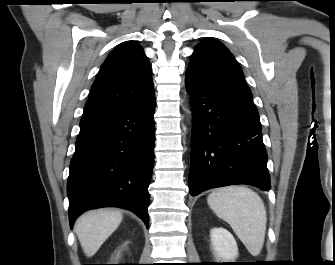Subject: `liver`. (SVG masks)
I'll list each match as a JSON object with an SVG mask.
<instances>
[{"label": "liver", "instance_id": "6515ba94", "mask_svg": "<svg viewBox=\"0 0 335 265\" xmlns=\"http://www.w3.org/2000/svg\"><path fill=\"white\" fill-rule=\"evenodd\" d=\"M123 219L122 212L115 209L91 210L75 222L74 231L87 257H92L118 228Z\"/></svg>", "mask_w": 335, "mask_h": 265}]
</instances>
